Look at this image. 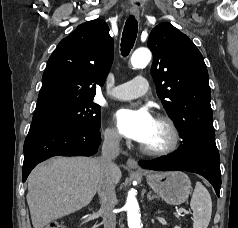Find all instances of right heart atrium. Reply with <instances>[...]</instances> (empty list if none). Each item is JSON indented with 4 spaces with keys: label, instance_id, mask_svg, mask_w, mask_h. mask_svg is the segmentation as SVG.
Instances as JSON below:
<instances>
[{
    "label": "right heart atrium",
    "instance_id": "d8ad5b80",
    "mask_svg": "<svg viewBox=\"0 0 238 228\" xmlns=\"http://www.w3.org/2000/svg\"><path fill=\"white\" fill-rule=\"evenodd\" d=\"M104 140L106 143L116 146L120 143V135L113 127H108L104 132Z\"/></svg>",
    "mask_w": 238,
    "mask_h": 228
}]
</instances>
